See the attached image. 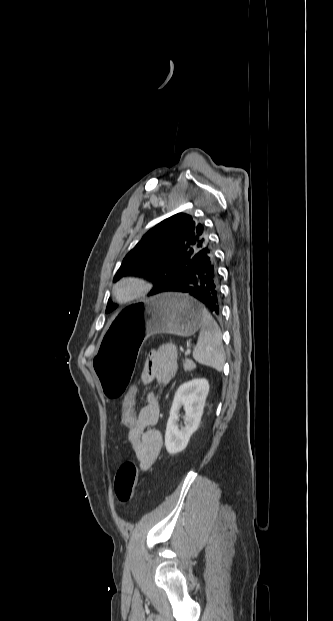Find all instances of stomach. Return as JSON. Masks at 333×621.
<instances>
[{
  "label": "stomach",
  "mask_w": 333,
  "mask_h": 621,
  "mask_svg": "<svg viewBox=\"0 0 333 621\" xmlns=\"http://www.w3.org/2000/svg\"><path fill=\"white\" fill-rule=\"evenodd\" d=\"M206 310L195 299L164 293L133 304L115 316L104 329L96 373L107 402H122L134 375L144 338L157 333L193 335Z\"/></svg>",
  "instance_id": "1"
}]
</instances>
